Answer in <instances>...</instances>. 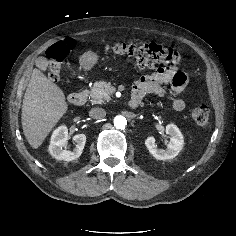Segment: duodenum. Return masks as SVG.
<instances>
[{
    "mask_svg": "<svg viewBox=\"0 0 236 236\" xmlns=\"http://www.w3.org/2000/svg\"><path fill=\"white\" fill-rule=\"evenodd\" d=\"M86 99L87 93L84 90L76 91L69 96V102L75 106H82L86 102ZM140 101L141 98L139 96L133 95L129 101V106L135 109L138 107Z\"/></svg>",
    "mask_w": 236,
    "mask_h": 236,
    "instance_id": "duodenum-1",
    "label": "duodenum"
}]
</instances>
